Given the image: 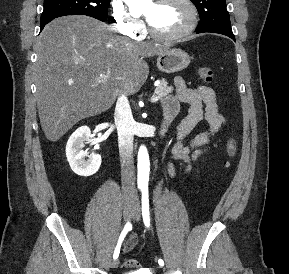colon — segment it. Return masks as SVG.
<instances>
[{"label": "colon", "instance_id": "colon-1", "mask_svg": "<svg viewBox=\"0 0 289 274\" xmlns=\"http://www.w3.org/2000/svg\"><path fill=\"white\" fill-rule=\"evenodd\" d=\"M199 77L202 81L206 83H211L214 78V71L209 66H201L198 69ZM237 152V142L234 138H229L226 143V153L229 158H234ZM226 165H229V162H226ZM122 267L124 269L133 270V271H142L147 274H150L149 271L141 270L140 264L135 259H127L123 262Z\"/></svg>", "mask_w": 289, "mask_h": 274}]
</instances>
